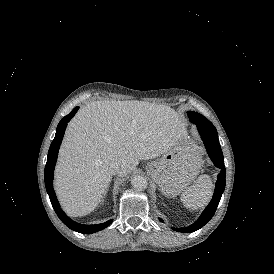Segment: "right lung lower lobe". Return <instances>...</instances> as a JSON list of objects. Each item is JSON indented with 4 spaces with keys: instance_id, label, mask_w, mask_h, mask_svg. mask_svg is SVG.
<instances>
[{
    "instance_id": "1",
    "label": "right lung lower lobe",
    "mask_w": 274,
    "mask_h": 274,
    "mask_svg": "<svg viewBox=\"0 0 274 274\" xmlns=\"http://www.w3.org/2000/svg\"><path fill=\"white\" fill-rule=\"evenodd\" d=\"M79 107H75L70 114L62 118V120L59 122L55 134V138L53 142L50 145V149L48 151V158H47V163L45 166V186L47 193L49 195L50 201L52 203V206L60 218L62 222L69 227L70 229L83 233V234H92L95 232H98L108 225L112 223L113 220H109L103 224H97V225H82L79 223L74 222L71 220L69 217L65 215V213L60 209V205L57 201L54 189H53V171H54V166L56 164L57 160V155H58V150L61 144V141L63 139V135L67 126V123L70 121V119L75 115Z\"/></svg>"
}]
</instances>
